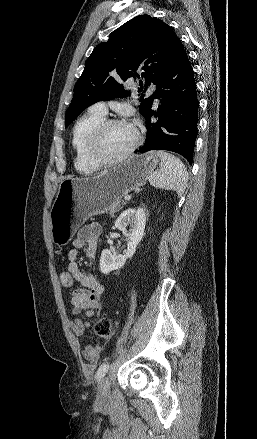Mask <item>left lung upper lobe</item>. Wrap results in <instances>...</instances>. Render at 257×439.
Segmentation results:
<instances>
[{"mask_svg": "<svg viewBox=\"0 0 257 439\" xmlns=\"http://www.w3.org/2000/svg\"><path fill=\"white\" fill-rule=\"evenodd\" d=\"M179 38L163 21L140 15L109 35L107 42L97 45L85 63L84 71L74 87V95L65 115V127L90 104L128 95L122 83L144 77L145 89L156 84L167 68ZM138 90L143 91V83ZM144 117L152 107V99L140 97Z\"/></svg>", "mask_w": 257, "mask_h": 439, "instance_id": "left-lung-upper-lobe-1", "label": "left lung upper lobe"}]
</instances>
